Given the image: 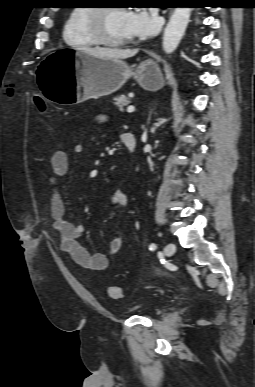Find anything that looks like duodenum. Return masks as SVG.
<instances>
[{
  "label": "duodenum",
  "instance_id": "1",
  "mask_svg": "<svg viewBox=\"0 0 255 387\" xmlns=\"http://www.w3.org/2000/svg\"><path fill=\"white\" fill-rule=\"evenodd\" d=\"M121 140L129 152H133L136 149V138L133 134L124 133L121 136Z\"/></svg>",
  "mask_w": 255,
  "mask_h": 387
}]
</instances>
